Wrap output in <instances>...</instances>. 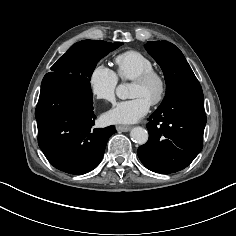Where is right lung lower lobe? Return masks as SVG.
I'll return each instance as SVG.
<instances>
[{
    "instance_id": "right-lung-lower-lobe-1",
    "label": "right lung lower lobe",
    "mask_w": 236,
    "mask_h": 236,
    "mask_svg": "<svg viewBox=\"0 0 236 236\" xmlns=\"http://www.w3.org/2000/svg\"><path fill=\"white\" fill-rule=\"evenodd\" d=\"M38 144L52 166L85 174L100 163L114 126L94 128L91 88L63 76H45L35 110Z\"/></svg>"
}]
</instances>
